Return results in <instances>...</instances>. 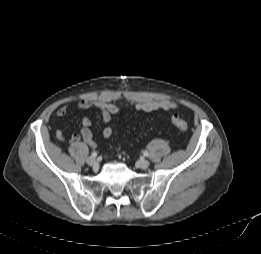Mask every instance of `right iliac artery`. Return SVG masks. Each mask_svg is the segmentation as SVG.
I'll return each instance as SVG.
<instances>
[{
  "label": "right iliac artery",
  "instance_id": "obj_1",
  "mask_svg": "<svg viewBox=\"0 0 261 254\" xmlns=\"http://www.w3.org/2000/svg\"><path fill=\"white\" fill-rule=\"evenodd\" d=\"M91 155H92V157H96L97 156V152L93 151Z\"/></svg>",
  "mask_w": 261,
  "mask_h": 254
}]
</instances>
